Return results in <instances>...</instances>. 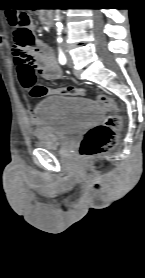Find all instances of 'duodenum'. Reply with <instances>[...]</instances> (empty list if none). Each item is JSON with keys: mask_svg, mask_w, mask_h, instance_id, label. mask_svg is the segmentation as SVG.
<instances>
[{"mask_svg": "<svg viewBox=\"0 0 145 278\" xmlns=\"http://www.w3.org/2000/svg\"><path fill=\"white\" fill-rule=\"evenodd\" d=\"M41 19H42L44 24H46V25H50L51 24V17H50V15L48 13L43 15Z\"/></svg>", "mask_w": 145, "mask_h": 278, "instance_id": "410a0bca", "label": "duodenum"}]
</instances>
